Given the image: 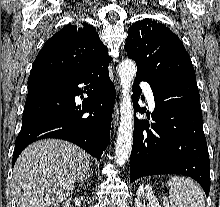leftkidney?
Wrapping results in <instances>:
<instances>
[{"mask_svg": "<svg viewBox=\"0 0 220 207\" xmlns=\"http://www.w3.org/2000/svg\"><path fill=\"white\" fill-rule=\"evenodd\" d=\"M135 207H161L149 185H140L136 191Z\"/></svg>", "mask_w": 220, "mask_h": 207, "instance_id": "1", "label": "left kidney"}]
</instances>
